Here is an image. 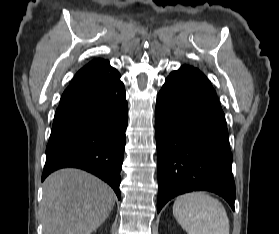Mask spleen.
Instances as JSON below:
<instances>
[{
  "label": "spleen",
  "mask_w": 279,
  "mask_h": 234,
  "mask_svg": "<svg viewBox=\"0 0 279 234\" xmlns=\"http://www.w3.org/2000/svg\"><path fill=\"white\" fill-rule=\"evenodd\" d=\"M173 215L188 234H229V219L222 203L204 192L178 197Z\"/></svg>",
  "instance_id": "3e777b00"
}]
</instances>
